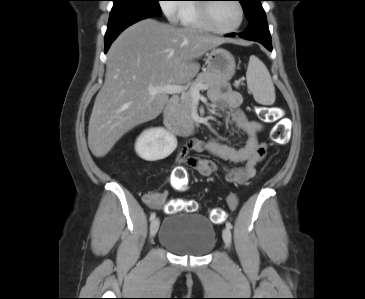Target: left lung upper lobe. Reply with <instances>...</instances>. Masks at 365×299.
Instances as JSON below:
<instances>
[{
	"mask_svg": "<svg viewBox=\"0 0 365 299\" xmlns=\"http://www.w3.org/2000/svg\"><path fill=\"white\" fill-rule=\"evenodd\" d=\"M245 12V15L249 21L254 20L256 17L265 14L261 1L263 0H238Z\"/></svg>",
	"mask_w": 365,
	"mask_h": 299,
	"instance_id": "obj_1",
	"label": "left lung upper lobe"
}]
</instances>
